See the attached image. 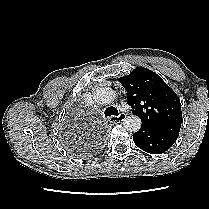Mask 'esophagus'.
Returning <instances> with one entry per match:
<instances>
[{"label":"esophagus","instance_id":"esophagus-1","mask_svg":"<svg viewBox=\"0 0 209 209\" xmlns=\"http://www.w3.org/2000/svg\"><path fill=\"white\" fill-rule=\"evenodd\" d=\"M126 116L127 115L125 113H120L118 116H111V117H109V120L112 123H120L123 120H125Z\"/></svg>","mask_w":209,"mask_h":209}]
</instances>
